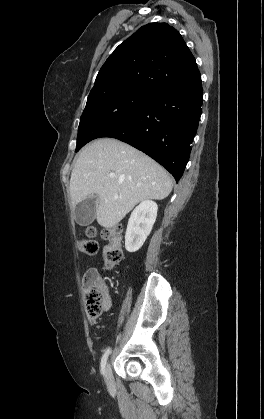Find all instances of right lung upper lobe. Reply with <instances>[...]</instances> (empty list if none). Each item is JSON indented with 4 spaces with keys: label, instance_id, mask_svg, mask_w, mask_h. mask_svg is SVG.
<instances>
[{
    "label": "right lung upper lobe",
    "instance_id": "1",
    "mask_svg": "<svg viewBox=\"0 0 264 419\" xmlns=\"http://www.w3.org/2000/svg\"><path fill=\"white\" fill-rule=\"evenodd\" d=\"M199 81L195 58L179 32L167 23H149L114 50L91 91L129 85L155 93Z\"/></svg>",
    "mask_w": 264,
    "mask_h": 419
}]
</instances>
